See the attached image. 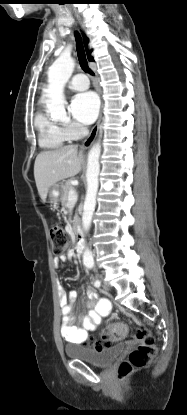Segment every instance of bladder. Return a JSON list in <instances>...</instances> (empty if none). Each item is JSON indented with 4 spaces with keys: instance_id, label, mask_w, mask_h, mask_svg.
<instances>
[{
    "instance_id": "bladder-1",
    "label": "bladder",
    "mask_w": 187,
    "mask_h": 415,
    "mask_svg": "<svg viewBox=\"0 0 187 415\" xmlns=\"http://www.w3.org/2000/svg\"><path fill=\"white\" fill-rule=\"evenodd\" d=\"M125 349L126 346L122 343L103 349L67 345L65 346V354L68 358L83 360L97 367H108L123 355Z\"/></svg>"
}]
</instances>
